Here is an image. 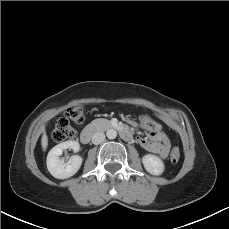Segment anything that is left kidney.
Wrapping results in <instances>:
<instances>
[{
    "instance_id": "5707ae66",
    "label": "left kidney",
    "mask_w": 229,
    "mask_h": 229,
    "mask_svg": "<svg viewBox=\"0 0 229 229\" xmlns=\"http://www.w3.org/2000/svg\"><path fill=\"white\" fill-rule=\"evenodd\" d=\"M144 168L152 175H161L164 171L163 161L156 155L146 154L142 158Z\"/></svg>"
}]
</instances>
